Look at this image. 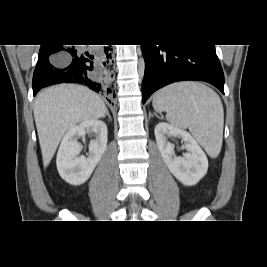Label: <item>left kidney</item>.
<instances>
[{
    "label": "left kidney",
    "mask_w": 267,
    "mask_h": 267,
    "mask_svg": "<svg viewBox=\"0 0 267 267\" xmlns=\"http://www.w3.org/2000/svg\"><path fill=\"white\" fill-rule=\"evenodd\" d=\"M157 146L170 172L184 185L197 184L207 173L208 159L196 140L185 130L161 122L155 127ZM170 138L184 142L186 153L177 156Z\"/></svg>",
    "instance_id": "5707ae66"
}]
</instances>
